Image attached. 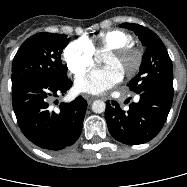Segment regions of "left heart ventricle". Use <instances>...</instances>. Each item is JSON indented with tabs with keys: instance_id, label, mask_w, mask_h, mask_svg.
<instances>
[{
	"instance_id": "obj_1",
	"label": "left heart ventricle",
	"mask_w": 187,
	"mask_h": 187,
	"mask_svg": "<svg viewBox=\"0 0 187 187\" xmlns=\"http://www.w3.org/2000/svg\"><path fill=\"white\" fill-rule=\"evenodd\" d=\"M134 61L135 57L132 54L120 58L105 55L103 59V64L105 67H112L116 69L123 76L132 68Z\"/></svg>"
}]
</instances>
